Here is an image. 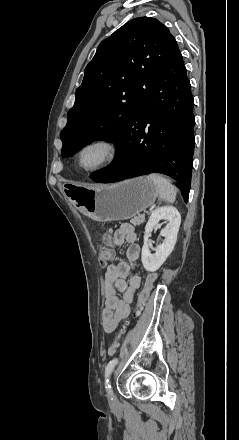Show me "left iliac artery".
<instances>
[{"mask_svg":"<svg viewBox=\"0 0 239 440\" xmlns=\"http://www.w3.org/2000/svg\"><path fill=\"white\" fill-rule=\"evenodd\" d=\"M118 363V359L114 358L112 359L107 366L105 367V387L106 389L109 391V393H112L111 391V385L109 384V377L113 371V369L115 368V366Z\"/></svg>","mask_w":239,"mask_h":440,"instance_id":"left-iliac-artery-1","label":"left iliac artery"}]
</instances>
